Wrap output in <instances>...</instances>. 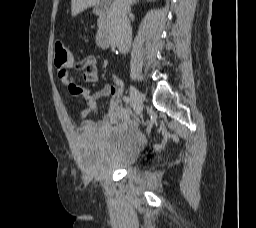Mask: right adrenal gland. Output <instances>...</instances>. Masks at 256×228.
Returning <instances> with one entry per match:
<instances>
[{
	"mask_svg": "<svg viewBox=\"0 0 256 228\" xmlns=\"http://www.w3.org/2000/svg\"><path fill=\"white\" fill-rule=\"evenodd\" d=\"M139 0H134L133 5L136 4Z\"/></svg>",
	"mask_w": 256,
	"mask_h": 228,
	"instance_id": "obj_1",
	"label": "right adrenal gland"
}]
</instances>
